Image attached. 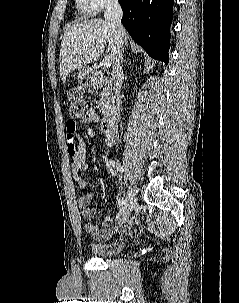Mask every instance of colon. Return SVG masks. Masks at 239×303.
<instances>
[{
	"label": "colon",
	"mask_w": 239,
	"mask_h": 303,
	"mask_svg": "<svg viewBox=\"0 0 239 303\" xmlns=\"http://www.w3.org/2000/svg\"><path fill=\"white\" fill-rule=\"evenodd\" d=\"M68 111L70 120L67 123L69 130L75 128V121L88 116L91 112V107L88 100L77 90H71L68 93Z\"/></svg>",
	"instance_id": "colon-1"
}]
</instances>
